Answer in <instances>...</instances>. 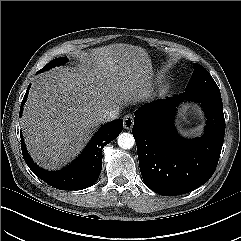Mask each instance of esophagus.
<instances>
[{
    "label": "esophagus",
    "instance_id": "1",
    "mask_svg": "<svg viewBox=\"0 0 241 241\" xmlns=\"http://www.w3.org/2000/svg\"><path fill=\"white\" fill-rule=\"evenodd\" d=\"M134 125L133 116L128 114L124 117V128L127 130H131Z\"/></svg>",
    "mask_w": 241,
    "mask_h": 241
}]
</instances>
